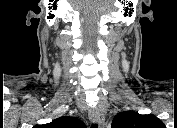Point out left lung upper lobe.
Wrapping results in <instances>:
<instances>
[{"label": "left lung upper lobe", "instance_id": "1", "mask_svg": "<svg viewBox=\"0 0 177 128\" xmlns=\"http://www.w3.org/2000/svg\"><path fill=\"white\" fill-rule=\"evenodd\" d=\"M163 125L154 115H141L134 111L121 112L112 122V128H162Z\"/></svg>", "mask_w": 177, "mask_h": 128}]
</instances>
